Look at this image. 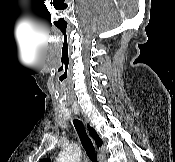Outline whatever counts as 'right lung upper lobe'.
Wrapping results in <instances>:
<instances>
[{
    "mask_svg": "<svg viewBox=\"0 0 175 162\" xmlns=\"http://www.w3.org/2000/svg\"><path fill=\"white\" fill-rule=\"evenodd\" d=\"M88 129H89V133H90L91 137L95 140L97 146L98 147L101 146L102 140L99 138L97 132L93 128H91L90 126H88ZM41 162H50V160L48 158H46V159L41 160Z\"/></svg>",
    "mask_w": 175,
    "mask_h": 162,
    "instance_id": "1",
    "label": "right lung upper lobe"
}]
</instances>
